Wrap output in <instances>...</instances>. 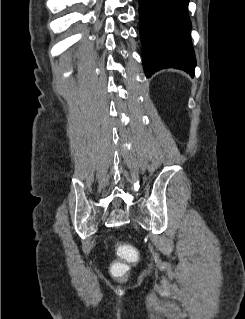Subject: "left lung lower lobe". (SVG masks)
I'll use <instances>...</instances> for the list:
<instances>
[{"instance_id":"0a47b994","label":"left lung lower lobe","mask_w":245,"mask_h":319,"mask_svg":"<svg viewBox=\"0 0 245 319\" xmlns=\"http://www.w3.org/2000/svg\"><path fill=\"white\" fill-rule=\"evenodd\" d=\"M188 3L189 0H139L146 77L168 67L194 75L196 59L190 38Z\"/></svg>"}]
</instances>
